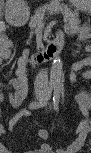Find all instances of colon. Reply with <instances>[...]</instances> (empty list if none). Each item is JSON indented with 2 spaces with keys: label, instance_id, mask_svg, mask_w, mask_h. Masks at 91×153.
<instances>
[{
  "label": "colon",
  "instance_id": "colon-1",
  "mask_svg": "<svg viewBox=\"0 0 91 153\" xmlns=\"http://www.w3.org/2000/svg\"><path fill=\"white\" fill-rule=\"evenodd\" d=\"M1 30L2 31L4 30V26L3 25H1ZM0 41L2 43V46H5V45H8L9 44V41L10 40H9V38L4 33H1V35H0Z\"/></svg>",
  "mask_w": 91,
  "mask_h": 153
}]
</instances>
